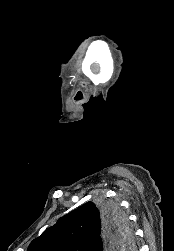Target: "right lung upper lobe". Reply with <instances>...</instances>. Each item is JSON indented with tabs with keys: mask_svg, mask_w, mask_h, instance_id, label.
<instances>
[{
	"mask_svg": "<svg viewBox=\"0 0 174 251\" xmlns=\"http://www.w3.org/2000/svg\"><path fill=\"white\" fill-rule=\"evenodd\" d=\"M105 216L93 202H87L61 217L34 239L27 251H104L119 250L122 237L116 233L111 247H103L101 237Z\"/></svg>",
	"mask_w": 174,
	"mask_h": 251,
	"instance_id": "obj_1",
	"label": "right lung upper lobe"
}]
</instances>
